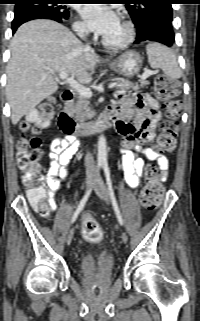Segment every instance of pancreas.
Here are the masks:
<instances>
[{
  "label": "pancreas",
  "mask_w": 200,
  "mask_h": 321,
  "mask_svg": "<svg viewBox=\"0 0 200 321\" xmlns=\"http://www.w3.org/2000/svg\"><path fill=\"white\" fill-rule=\"evenodd\" d=\"M117 83V88L122 90H137L140 87H146L149 82L142 81L140 85L138 83H132L131 81L123 78L113 79ZM69 114L73 116L78 122L84 123L87 118L92 114L89 98L79 95L74 104L69 105L67 108Z\"/></svg>",
  "instance_id": "1"
}]
</instances>
